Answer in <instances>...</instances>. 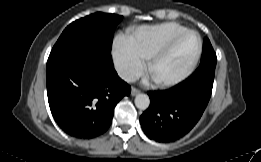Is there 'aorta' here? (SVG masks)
<instances>
[{
	"instance_id": "1",
	"label": "aorta",
	"mask_w": 261,
	"mask_h": 162,
	"mask_svg": "<svg viewBox=\"0 0 261 162\" xmlns=\"http://www.w3.org/2000/svg\"><path fill=\"white\" fill-rule=\"evenodd\" d=\"M135 105L140 110H146L150 105V99L147 94L139 93L135 97Z\"/></svg>"
}]
</instances>
